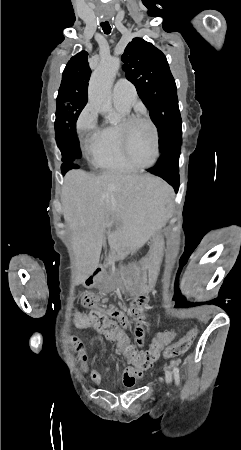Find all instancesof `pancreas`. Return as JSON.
<instances>
[{
  "instance_id": "1",
  "label": "pancreas",
  "mask_w": 241,
  "mask_h": 450,
  "mask_svg": "<svg viewBox=\"0 0 241 450\" xmlns=\"http://www.w3.org/2000/svg\"><path fill=\"white\" fill-rule=\"evenodd\" d=\"M115 232H116V230H115ZM120 232H121V230H120ZM120 232H117L118 240L120 238Z\"/></svg>"
}]
</instances>
